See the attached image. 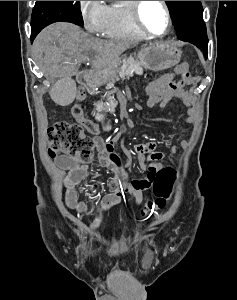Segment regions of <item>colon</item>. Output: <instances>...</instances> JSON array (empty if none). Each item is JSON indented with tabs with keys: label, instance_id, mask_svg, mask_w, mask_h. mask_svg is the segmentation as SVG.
Instances as JSON below:
<instances>
[{
	"label": "colon",
	"instance_id": "1",
	"mask_svg": "<svg viewBox=\"0 0 237 300\" xmlns=\"http://www.w3.org/2000/svg\"><path fill=\"white\" fill-rule=\"evenodd\" d=\"M175 72L180 75L179 80L173 81L147 96L146 105L149 108L158 104L169 91L194 84V77L189 73L187 63L178 65ZM82 96L83 91L79 90L78 100L72 108L75 118L83 117L79 100ZM119 138L120 134L117 133L106 141L95 140L84 133L80 124L57 122L48 129V154L50 157H54L57 153L62 152L76 158L80 163H88L97 147L112 146ZM176 178V172L172 168H161L151 173L149 187L153 188L156 195L155 206L164 207L167 198L173 191Z\"/></svg>",
	"mask_w": 237,
	"mask_h": 300
}]
</instances>
